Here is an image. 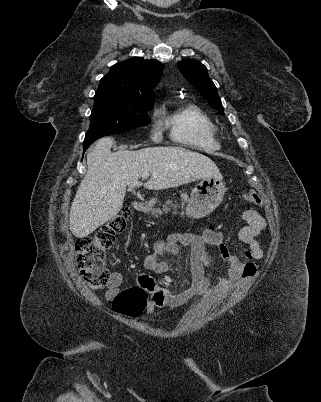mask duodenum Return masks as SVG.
I'll use <instances>...</instances> for the list:
<instances>
[{
  "mask_svg": "<svg viewBox=\"0 0 321 402\" xmlns=\"http://www.w3.org/2000/svg\"><path fill=\"white\" fill-rule=\"evenodd\" d=\"M132 206H133V208H134L135 210L141 211V210H143V209L146 208L147 204H146V202L143 201V200L136 199V200H134V201L132 202Z\"/></svg>",
  "mask_w": 321,
  "mask_h": 402,
  "instance_id": "410a0bca",
  "label": "duodenum"
}]
</instances>
